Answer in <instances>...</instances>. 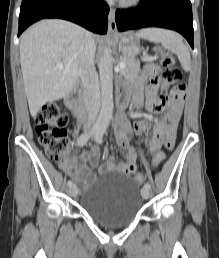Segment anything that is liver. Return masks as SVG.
Wrapping results in <instances>:
<instances>
[{
  "label": "liver",
  "mask_w": 219,
  "mask_h": 258,
  "mask_svg": "<svg viewBox=\"0 0 219 258\" xmlns=\"http://www.w3.org/2000/svg\"><path fill=\"white\" fill-rule=\"evenodd\" d=\"M87 31L59 19L42 20L21 37L20 63L30 112L67 96L77 82ZM62 65L59 69L57 66Z\"/></svg>",
  "instance_id": "liver-1"
}]
</instances>
